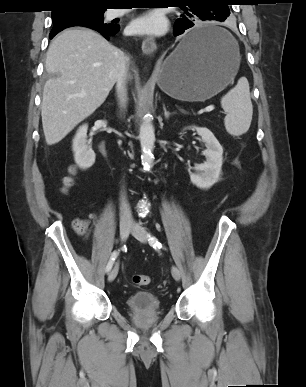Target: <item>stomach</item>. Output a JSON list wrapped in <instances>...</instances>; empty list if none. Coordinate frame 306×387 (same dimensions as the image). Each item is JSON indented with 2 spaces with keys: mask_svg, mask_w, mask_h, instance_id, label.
Masks as SVG:
<instances>
[{
  "mask_svg": "<svg viewBox=\"0 0 306 387\" xmlns=\"http://www.w3.org/2000/svg\"><path fill=\"white\" fill-rule=\"evenodd\" d=\"M213 29L226 39L186 51L183 41L164 60L157 83L167 95L184 101H205L222 91L240 66L239 47L223 28L204 23L191 32Z\"/></svg>",
  "mask_w": 306,
  "mask_h": 387,
  "instance_id": "1",
  "label": "stomach"
}]
</instances>
